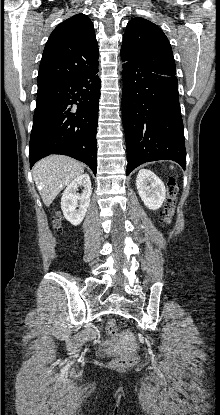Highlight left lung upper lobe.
Masks as SVG:
<instances>
[{"label": "left lung upper lobe", "instance_id": "1", "mask_svg": "<svg viewBox=\"0 0 220 415\" xmlns=\"http://www.w3.org/2000/svg\"><path fill=\"white\" fill-rule=\"evenodd\" d=\"M125 62L155 71L176 74L171 45L163 31L140 17L127 24L120 51Z\"/></svg>", "mask_w": 220, "mask_h": 415}]
</instances>
